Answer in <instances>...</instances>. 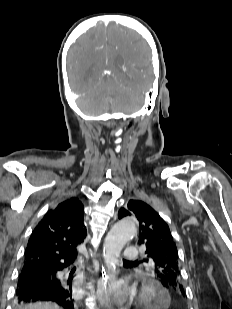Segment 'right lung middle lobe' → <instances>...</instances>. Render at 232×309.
<instances>
[{"label":"right lung middle lobe","mask_w":232,"mask_h":309,"mask_svg":"<svg viewBox=\"0 0 232 309\" xmlns=\"http://www.w3.org/2000/svg\"><path fill=\"white\" fill-rule=\"evenodd\" d=\"M20 277H24L25 279H28L27 275L20 274Z\"/></svg>","instance_id":"right-lung-middle-lobe-1"}]
</instances>
